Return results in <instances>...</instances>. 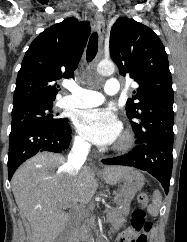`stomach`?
<instances>
[{
	"mask_svg": "<svg viewBox=\"0 0 187 242\" xmlns=\"http://www.w3.org/2000/svg\"><path fill=\"white\" fill-rule=\"evenodd\" d=\"M144 183L145 178L140 171L127 167L118 180L119 190L114 197L117 211L121 213L116 215L114 224L120 223L122 216L128 214L131 200L143 188Z\"/></svg>",
	"mask_w": 187,
	"mask_h": 242,
	"instance_id": "obj_1",
	"label": "stomach"
}]
</instances>
